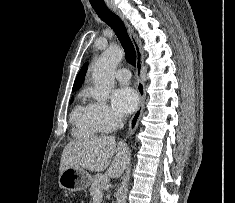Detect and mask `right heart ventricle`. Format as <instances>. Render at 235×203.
I'll list each match as a JSON object with an SVG mask.
<instances>
[{
	"mask_svg": "<svg viewBox=\"0 0 235 203\" xmlns=\"http://www.w3.org/2000/svg\"><path fill=\"white\" fill-rule=\"evenodd\" d=\"M86 96V91L79 94L80 103L72 111L71 122L75 136L91 138L97 136L101 131L93 118L90 104L84 102Z\"/></svg>",
	"mask_w": 235,
	"mask_h": 203,
	"instance_id": "obj_1",
	"label": "right heart ventricle"
}]
</instances>
